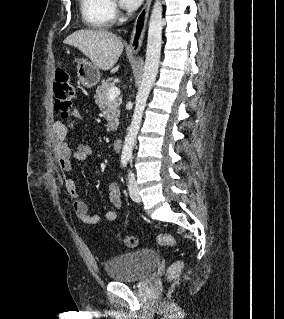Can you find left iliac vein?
I'll return each mask as SVG.
<instances>
[{"label": "left iliac vein", "instance_id": "obj_1", "mask_svg": "<svg viewBox=\"0 0 284 319\" xmlns=\"http://www.w3.org/2000/svg\"><path fill=\"white\" fill-rule=\"evenodd\" d=\"M128 190H129L130 197L133 201H135V202L141 201V196L139 194L138 185H137L132 174H129Z\"/></svg>", "mask_w": 284, "mask_h": 319}]
</instances>
